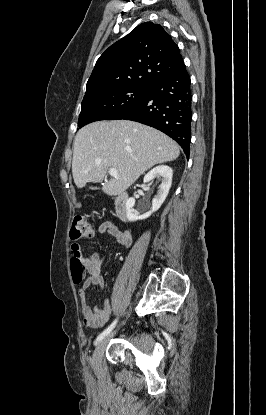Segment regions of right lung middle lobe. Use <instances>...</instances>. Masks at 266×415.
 I'll return each instance as SVG.
<instances>
[{"label": "right lung middle lobe", "mask_w": 266, "mask_h": 415, "mask_svg": "<svg viewBox=\"0 0 266 415\" xmlns=\"http://www.w3.org/2000/svg\"><path fill=\"white\" fill-rule=\"evenodd\" d=\"M147 92L148 88L124 86L84 97L78 126L81 128L94 121L109 120L141 101Z\"/></svg>", "instance_id": "1"}]
</instances>
